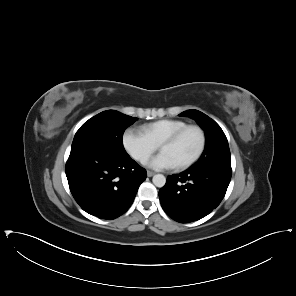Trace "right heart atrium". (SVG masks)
<instances>
[{"label":"right heart atrium","mask_w":296,"mask_h":296,"mask_svg":"<svg viewBox=\"0 0 296 296\" xmlns=\"http://www.w3.org/2000/svg\"><path fill=\"white\" fill-rule=\"evenodd\" d=\"M123 143L127 152L141 162L148 160L158 149L145 133L137 129L126 131Z\"/></svg>","instance_id":"1"}]
</instances>
